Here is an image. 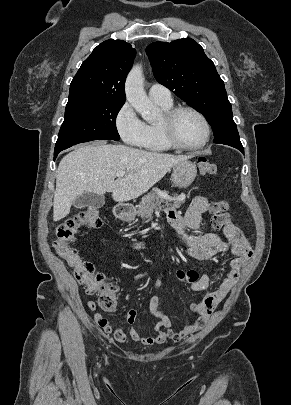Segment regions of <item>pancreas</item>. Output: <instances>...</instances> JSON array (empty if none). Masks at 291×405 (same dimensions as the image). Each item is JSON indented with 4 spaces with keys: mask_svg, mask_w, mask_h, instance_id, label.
Instances as JSON below:
<instances>
[{
    "mask_svg": "<svg viewBox=\"0 0 291 405\" xmlns=\"http://www.w3.org/2000/svg\"><path fill=\"white\" fill-rule=\"evenodd\" d=\"M165 196H163L162 194ZM184 202V199L181 196L168 197L165 191L159 192V190H152L141 199L140 204L138 205L137 214L142 219L148 218L150 212L161 208V204L165 203L166 209L168 208H180L181 204Z\"/></svg>",
    "mask_w": 291,
    "mask_h": 405,
    "instance_id": "1",
    "label": "pancreas"
}]
</instances>
